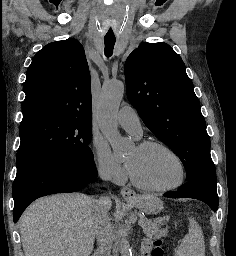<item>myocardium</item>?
Segmentation results:
<instances>
[{
	"instance_id": "f54148a6",
	"label": "myocardium",
	"mask_w": 236,
	"mask_h": 256,
	"mask_svg": "<svg viewBox=\"0 0 236 256\" xmlns=\"http://www.w3.org/2000/svg\"><path fill=\"white\" fill-rule=\"evenodd\" d=\"M137 148L142 151H151L154 149H162L164 151H167L168 153L173 155L175 157V159L178 161V163L181 167V175H180V178L175 183H173L171 185H168L165 187H151V186H147V185L143 184L136 177V175L133 172V170L131 169V167L127 164L130 181L134 187H136L137 189H139L143 192H146V193L159 194V193H165V192L174 190V189L180 187L184 183V181L186 179V175H187L186 164H185L183 158L179 155V153L176 152L173 148H171L170 146H168L164 143L158 142V141H146V142L140 143L137 146Z\"/></svg>"
}]
</instances>
